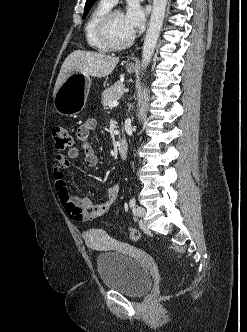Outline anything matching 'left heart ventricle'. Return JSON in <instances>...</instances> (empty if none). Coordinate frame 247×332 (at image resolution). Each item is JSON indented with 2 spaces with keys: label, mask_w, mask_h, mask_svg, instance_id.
<instances>
[{
  "label": "left heart ventricle",
  "mask_w": 247,
  "mask_h": 332,
  "mask_svg": "<svg viewBox=\"0 0 247 332\" xmlns=\"http://www.w3.org/2000/svg\"><path fill=\"white\" fill-rule=\"evenodd\" d=\"M109 33L114 42H122L133 33V31L127 26L122 12H117L113 15Z\"/></svg>",
  "instance_id": "1"
}]
</instances>
